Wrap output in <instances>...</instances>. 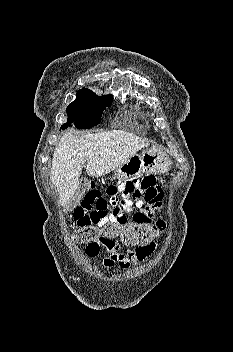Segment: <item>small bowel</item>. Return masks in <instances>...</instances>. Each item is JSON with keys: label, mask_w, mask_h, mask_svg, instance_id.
Here are the masks:
<instances>
[{"label": "small bowel", "mask_w": 233, "mask_h": 352, "mask_svg": "<svg viewBox=\"0 0 233 352\" xmlns=\"http://www.w3.org/2000/svg\"><path fill=\"white\" fill-rule=\"evenodd\" d=\"M81 201L73 219L77 227L95 221L103 228L108 224H150L162 206L163 192L153 176L136 178L105 190L96 188L94 182L85 180L80 188ZM111 208V210H110ZM137 208V211H135ZM155 245L149 243L133 248L120 249L117 239L86 246L90 258L102 257L103 266L128 268L133 262L144 260L153 253Z\"/></svg>", "instance_id": "obj_1"}]
</instances>
